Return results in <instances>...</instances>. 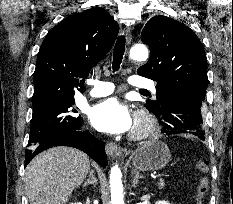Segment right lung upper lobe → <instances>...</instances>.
Segmentation results:
<instances>
[{
  "instance_id": "cb5924a9",
  "label": "right lung upper lobe",
  "mask_w": 233,
  "mask_h": 204,
  "mask_svg": "<svg viewBox=\"0 0 233 204\" xmlns=\"http://www.w3.org/2000/svg\"><path fill=\"white\" fill-rule=\"evenodd\" d=\"M118 32L117 22L101 7L70 15L53 27L37 56L33 104L84 92L81 78L103 59Z\"/></svg>"
}]
</instances>
